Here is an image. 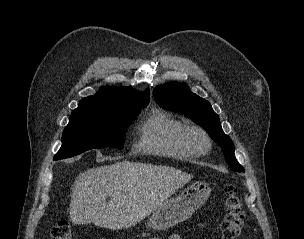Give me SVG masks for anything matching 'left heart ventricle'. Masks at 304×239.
Masks as SVG:
<instances>
[{"instance_id": "b2bd125f", "label": "left heart ventricle", "mask_w": 304, "mask_h": 239, "mask_svg": "<svg viewBox=\"0 0 304 239\" xmlns=\"http://www.w3.org/2000/svg\"><path fill=\"white\" fill-rule=\"evenodd\" d=\"M190 139H191V142H192L195 146H197V147H202V146H204V144H205L204 139L202 138V136H200V135L197 134V133L191 134Z\"/></svg>"}]
</instances>
